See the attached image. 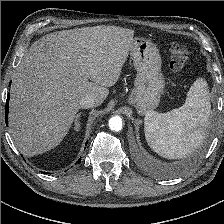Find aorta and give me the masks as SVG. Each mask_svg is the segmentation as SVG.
I'll use <instances>...</instances> for the list:
<instances>
[{
    "label": "aorta",
    "instance_id": "obj_1",
    "mask_svg": "<svg viewBox=\"0 0 224 224\" xmlns=\"http://www.w3.org/2000/svg\"><path fill=\"white\" fill-rule=\"evenodd\" d=\"M109 128L112 131H120L122 129V119L120 116H113L109 119Z\"/></svg>",
    "mask_w": 224,
    "mask_h": 224
}]
</instances>
